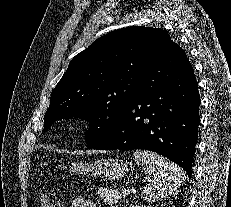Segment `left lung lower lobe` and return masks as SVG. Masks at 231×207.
<instances>
[{"label":"left lung lower lobe","mask_w":231,"mask_h":207,"mask_svg":"<svg viewBox=\"0 0 231 207\" xmlns=\"http://www.w3.org/2000/svg\"><path fill=\"white\" fill-rule=\"evenodd\" d=\"M199 92L193 67L175 42L143 76L142 91L97 150H150L189 178L198 139Z\"/></svg>","instance_id":"left-lung-lower-lobe-1"}]
</instances>
